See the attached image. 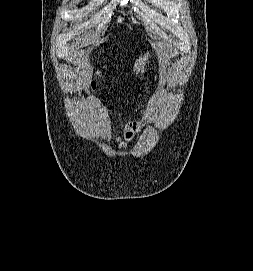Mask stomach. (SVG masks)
<instances>
[{"mask_svg":"<svg viewBox=\"0 0 253 271\" xmlns=\"http://www.w3.org/2000/svg\"><path fill=\"white\" fill-rule=\"evenodd\" d=\"M147 60H148V55H145V56L139 58L135 63L134 71H136V72L143 71L144 67L147 63Z\"/></svg>","mask_w":253,"mask_h":271,"instance_id":"1","label":"stomach"}]
</instances>
